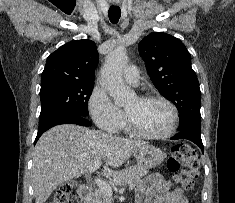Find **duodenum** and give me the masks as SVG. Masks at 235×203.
<instances>
[{"instance_id": "1", "label": "duodenum", "mask_w": 235, "mask_h": 203, "mask_svg": "<svg viewBox=\"0 0 235 203\" xmlns=\"http://www.w3.org/2000/svg\"><path fill=\"white\" fill-rule=\"evenodd\" d=\"M92 194V185L90 183L82 184L77 191L78 203H90ZM136 203H139L136 200Z\"/></svg>"}]
</instances>
